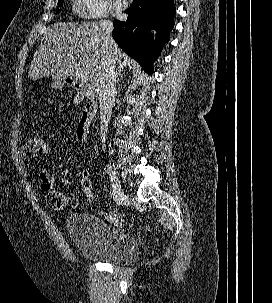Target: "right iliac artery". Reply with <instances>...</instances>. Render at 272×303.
<instances>
[{
    "label": "right iliac artery",
    "mask_w": 272,
    "mask_h": 303,
    "mask_svg": "<svg viewBox=\"0 0 272 303\" xmlns=\"http://www.w3.org/2000/svg\"><path fill=\"white\" fill-rule=\"evenodd\" d=\"M110 196H111V198H113L114 201H117V196H116L114 190L110 191Z\"/></svg>",
    "instance_id": "right-iliac-artery-1"
}]
</instances>
